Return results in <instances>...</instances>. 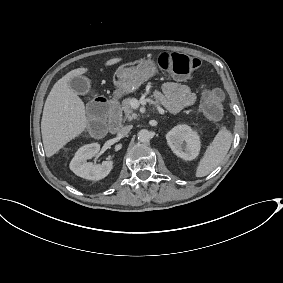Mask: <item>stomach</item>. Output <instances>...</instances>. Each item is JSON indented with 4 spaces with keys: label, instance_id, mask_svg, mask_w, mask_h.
I'll list each match as a JSON object with an SVG mask.
<instances>
[{
    "label": "stomach",
    "instance_id": "0dacf381",
    "mask_svg": "<svg viewBox=\"0 0 283 283\" xmlns=\"http://www.w3.org/2000/svg\"><path fill=\"white\" fill-rule=\"evenodd\" d=\"M157 73L153 60L140 59L121 65L115 72L113 82L117 94H128L137 90L141 84Z\"/></svg>",
    "mask_w": 283,
    "mask_h": 283
}]
</instances>
